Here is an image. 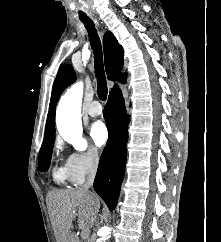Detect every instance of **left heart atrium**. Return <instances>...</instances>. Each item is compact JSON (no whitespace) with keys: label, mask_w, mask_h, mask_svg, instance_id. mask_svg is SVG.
<instances>
[{"label":"left heart atrium","mask_w":221,"mask_h":242,"mask_svg":"<svg viewBox=\"0 0 221 242\" xmlns=\"http://www.w3.org/2000/svg\"><path fill=\"white\" fill-rule=\"evenodd\" d=\"M90 134L95 144L98 146L104 145L109 136L106 125L101 121H98L92 125Z\"/></svg>","instance_id":"1"}]
</instances>
